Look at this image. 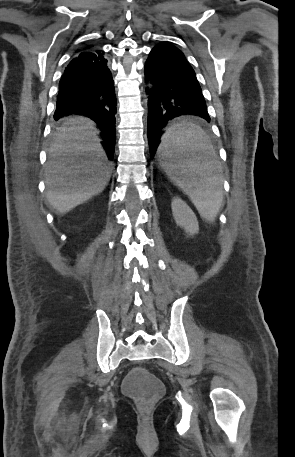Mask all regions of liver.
<instances>
[{
    "mask_svg": "<svg viewBox=\"0 0 295 457\" xmlns=\"http://www.w3.org/2000/svg\"><path fill=\"white\" fill-rule=\"evenodd\" d=\"M98 133L95 123L83 116L69 117L58 128L46 184L47 199L60 214L100 194L109 182L111 173ZM62 155L68 158L60 159Z\"/></svg>",
    "mask_w": 295,
    "mask_h": 457,
    "instance_id": "liver-1",
    "label": "liver"
}]
</instances>
